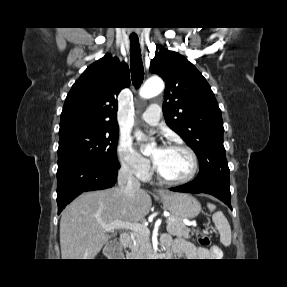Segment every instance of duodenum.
<instances>
[{
  "mask_svg": "<svg viewBox=\"0 0 287 287\" xmlns=\"http://www.w3.org/2000/svg\"><path fill=\"white\" fill-rule=\"evenodd\" d=\"M120 242H121V244H122L124 247H128V246L130 245V243H131L130 233L127 232V231H123V232L120 234ZM105 252H106L107 254H109V255L114 254V253L112 252V248H111L110 246H107V247L105 248ZM167 255L170 256V255H169V252H167Z\"/></svg>",
  "mask_w": 287,
  "mask_h": 287,
  "instance_id": "1",
  "label": "duodenum"
}]
</instances>
